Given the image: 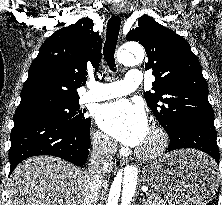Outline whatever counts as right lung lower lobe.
<instances>
[{
	"mask_svg": "<svg viewBox=\"0 0 222 205\" xmlns=\"http://www.w3.org/2000/svg\"><path fill=\"white\" fill-rule=\"evenodd\" d=\"M10 139V174L22 160L36 155H53L82 166L89 155L90 128L68 126L45 114H15Z\"/></svg>",
	"mask_w": 222,
	"mask_h": 205,
	"instance_id": "98d812e1",
	"label": "right lung lower lobe"
}]
</instances>
